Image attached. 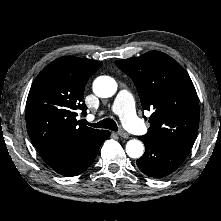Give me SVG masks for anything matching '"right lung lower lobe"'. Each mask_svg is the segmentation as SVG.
<instances>
[{
  "label": "right lung lower lobe",
  "mask_w": 221,
  "mask_h": 221,
  "mask_svg": "<svg viewBox=\"0 0 221 221\" xmlns=\"http://www.w3.org/2000/svg\"><path fill=\"white\" fill-rule=\"evenodd\" d=\"M109 136V131L102 130L82 140L58 142L37 150L57 173L71 177L81 174L94 162L99 147Z\"/></svg>",
  "instance_id": "right-lung-lower-lobe-1"
}]
</instances>
